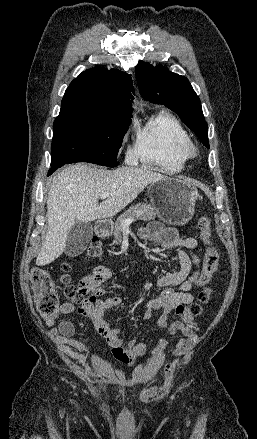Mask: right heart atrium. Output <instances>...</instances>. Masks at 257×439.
Masks as SVG:
<instances>
[{
    "label": "right heart atrium",
    "mask_w": 257,
    "mask_h": 439,
    "mask_svg": "<svg viewBox=\"0 0 257 439\" xmlns=\"http://www.w3.org/2000/svg\"><path fill=\"white\" fill-rule=\"evenodd\" d=\"M125 156L128 161H134L136 159L135 147L128 146Z\"/></svg>",
    "instance_id": "d8ad5b80"
}]
</instances>
